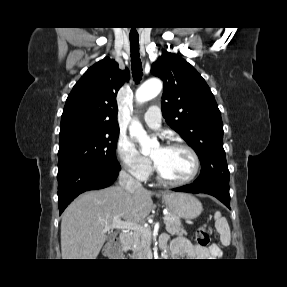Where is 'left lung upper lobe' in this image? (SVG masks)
<instances>
[{
	"instance_id": "obj_1",
	"label": "left lung upper lobe",
	"mask_w": 287,
	"mask_h": 287,
	"mask_svg": "<svg viewBox=\"0 0 287 287\" xmlns=\"http://www.w3.org/2000/svg\"><path fill=\"white\" fill-rule=\"evenodd\" d=\"M151 72L164 82L163 117L200 159L202 169L194 183L229 186L221 113L205 80L186 60L167 51Z\"/></svg>"
}]
</instances>
